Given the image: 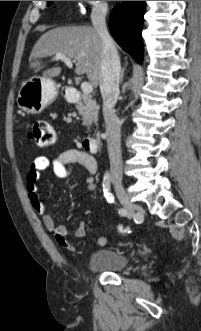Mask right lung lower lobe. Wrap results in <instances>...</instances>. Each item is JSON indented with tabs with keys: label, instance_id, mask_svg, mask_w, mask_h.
Here are the masks:
<instances>
[{
	"label": "right lung lower lobe",
	"instance_id": "98d812e1",
	"mask_svg": "<svg viewBox=\"0 0 201 331\" xmlns=\"http://www.w3.org/2000/svg\"><path fill=\"white\" fill-rule=\"evenodd\" d=\"M144 12L145 1H123L114 7L109 19L114 39L139 63L143 59L141 31Z\"/></svg>",
	"mask_w": 201,
	"mask_h": 331
}]
</instances>
